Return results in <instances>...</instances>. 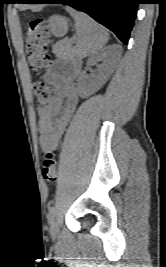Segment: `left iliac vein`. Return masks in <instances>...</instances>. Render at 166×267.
Returning a JSON list of instances; mask_svg holds the SVG:
<instances>
[{"label":"left iliac vein","mask_w":166,"mask_h":267,"mask_svg":"<svg viewBox=\"0 0 166 267\" xmlns=\"http://www.w3.org/2000/svg\"><path fill=\"white\" fill-rule=\"evenodd\" d=\"M59 233V225L57 221H53L50 226V235L53 239L58 236Z\"/></svg>","instance_id":"obj_1"}]
</instances>
